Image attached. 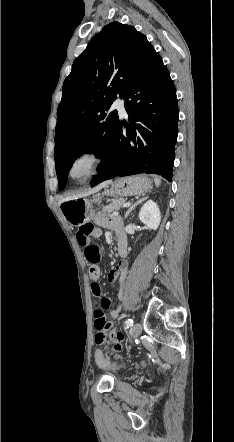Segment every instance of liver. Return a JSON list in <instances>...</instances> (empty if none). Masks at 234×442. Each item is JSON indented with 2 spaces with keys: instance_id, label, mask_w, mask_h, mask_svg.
Here are the masks:
<instances>
[{
  "instance_id": "6515ba94",
  "label": "liver",
  "mask_w": 234,
  "mask_h": 442,
  "mask_svg": "<svg viewBox=\"0 0 234 442\" xmlns=\"http://www.w3.org/2000/svg\"><path fill=\"white\" fill-rule=\"evenodd\" d=\"M111 183H112L111 180L104 181V182L100 183L99 185H97L96 187H94V188L88 190L87 192H85V193H83V194H79V195L74 196V197H70V198L63 199V200L60 201V203H62V202H64V201L71 200V199H75V198H79V197H85V196H88V195H90V194H94V193L98 192L99 190H101L102 188L108 186V185L111 184Z\"/></svg>"
}]
</instances>
